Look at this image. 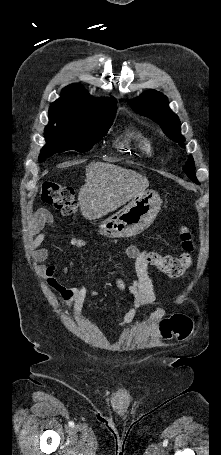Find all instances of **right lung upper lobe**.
Here are the masks:
<instances>
[{
    "mask_svg": "<svg viewBox=\"0 0 221 455\" xmlns=\"http://www.w3.org/2000/svg\"><path fill=\"white\" fill-rule=\"evenodd\" d=\"M115 98L94 99L80 84L65 87L49 109V116L69 120H86L107 110L116 109Z\"/></svg>",
    "mask_w": 221,
    "mask_h": 455,
    "instance_id": "cb5924a9",
    "label": "right lung upper lobe"
}]
</instances>
